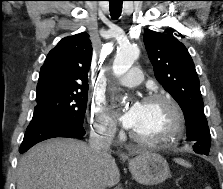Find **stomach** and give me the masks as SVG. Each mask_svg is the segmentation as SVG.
<instances>
[{
	"label": "stomach",
	"instance_id": "0dacf381",
	"mask_svg": "<svg viewBox=\"0 0 223 189\" xmlns=\"http://www.w3.org/2000/svg\"><path fill=\"white\" fill-rule=\"evenodd\" d=\"M129 170L140 184L154 185L164 182L170 173L167 161L159 154L144 151L129 161Z\"/></svg>",
	"mask_w": 223,
	"mask_h": 189
}]
</instances>
